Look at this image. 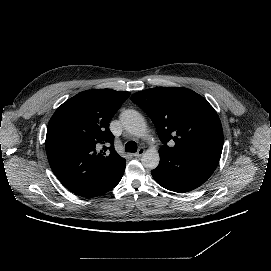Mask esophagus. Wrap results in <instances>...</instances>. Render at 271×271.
<instances>
[{
	"mask_svg": "<svg viewBox=\"0 0 271 271\" xmlns=\"http://www.w3.org/2000/svg\"><path fill=\"white\" fill-rule=\"evenodd\" d=\"M145 152L144 147H140L136 153L133 154L134 157L140 158Z\"/></svg>",
	"mask_w": 271,
	"mask_h": 271,
	"instance_id": "34e87169",
	"label": "esophagus"
}]
</instances>
